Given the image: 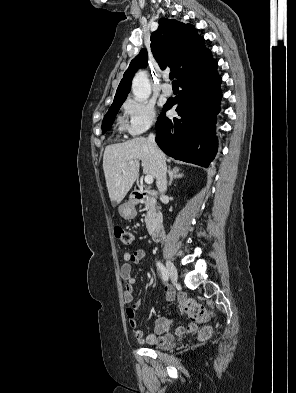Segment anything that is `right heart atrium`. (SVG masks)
Returning <instances> with one entry per match:
<instances>
[{
	"label": "right heart atrium",
	"instance_id": "d8ad5b80",
	"mask_svg": "<svg viewBox=\"0 0 296 393\" xmlns=\"http://www.w3.org/2000/svg\"><path fill=\"white\" fill-rule=\"evenodd\" d=\"M123 110L126 117V130L132 136L142 134L156 122L155 107L146 100L130 97L124 102Z\"/></svg>",
	"mask_w": 296,
	"mask_h": 393
}]
</instances>
